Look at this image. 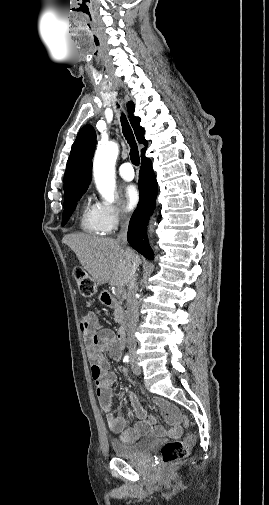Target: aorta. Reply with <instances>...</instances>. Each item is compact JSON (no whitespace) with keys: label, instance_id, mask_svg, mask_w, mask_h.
Returning <instances> with one entry per match:
<instances>
[{"label":"aorta","instance_id":"1","mask_svg":"<svg viewBox=\"0 0 269 505\" xmlns=\"http://www.w3.org/2000/svg\"><path fill=\"white\" fill-rule=\"evenodd\" d=\"M119 153L118 144L113 141L98 146L93 164L96 187L104 200H115V163Z\"/></svg>","mask_w":269,"mask_h":505}]
</instances>
